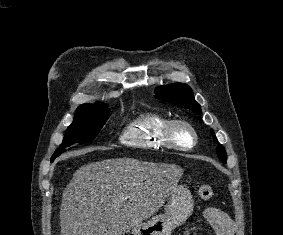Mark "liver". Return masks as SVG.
Listing matches in <instances>:
<instances>
[{
  "label": "liver",
  "mask_w": 283,
  "mask_h": 235,
  "mask_svg": "<svg viewBox=\"0 0 283 235\" xmlns=\"http://www.w3.org/2000/svg\"><path fill=\"white\" fill-rule=\"evenodd\" d=\"M182 175L176 164L127 157L84 165L63 193L61 235H125L160 209Z\"/></svg>",
  "instance_id": "obj_1"
}]
</instances>
